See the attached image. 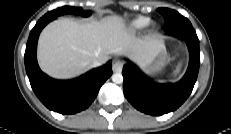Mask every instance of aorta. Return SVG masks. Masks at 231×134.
Instances as JSON below:
<instances>
[{"mask_svg":"<svg viewBox=\"0 0 231 134\" xmlns=\"http://www.w3.org/2000/svg\"><path fill=\"white\" fill-rule=\"evenodd\" d=\"M112 81L115 83V84H121L123 82V76L121 73H114L112 75Z\"/></svg>","mask_w":231,"mask_h":134,"instance_id":"762f6f07","label":"aorta"}]
</instances>
